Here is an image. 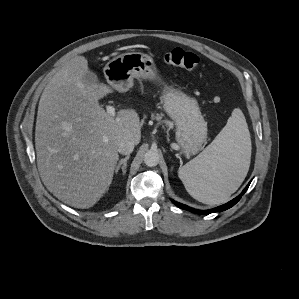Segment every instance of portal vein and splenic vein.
<instances>
[{
  "mask_svg": "<svg viewBox=\"0 0 299 299\" xmlns=\"http://www.w3.org/2000/svg\"><path fill=\"white\" fill-rule=\"evenodd\" d=\"M107 113H109L111 116H115V108L112 105H106Z\"/></svg>",
  "mask_w": 299,
  "mask_h": 299,
  "instance_id": "1",
  "label": "portal vein and splenic vein"
}]
</instances>
